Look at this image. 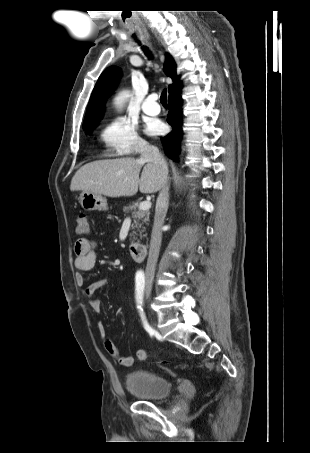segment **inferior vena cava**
Listing matches in <instances>:
<instances>
[{
    "label": "inferior vena cava",
    "mask_w": 310,
    "mask_h": 453,
    "mask_svg": "<svg viewBox=\"0 0 310 453\" xmlns=\"http://www.w3.org/2000/svg\"><path fill=\"white\" fill-rule=\"evenodd\" d=\"M140 160L144 162H152L154 165L161 167L164 172L163 185L156 201L154 224L152 228L149 255L145 270L146 277L152 278L154 277L155 267L158 260L162 241V226L164 224V219L168 209L169 202V185L167 177L168 166L163 155L159 152L158 148L156 146L149 145L148 143H144L141 146Z\"/></svg>",
    "instance_id": "inferior-vena-cava-1"
}]
</instances>
